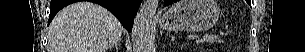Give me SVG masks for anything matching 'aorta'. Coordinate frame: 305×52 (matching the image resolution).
Instances as JSON below:
<instances>
[{"label":"aorta","instance_id":"1","mask_svg":"<svg viewBox=\"0 0 305 52\" xmlns=\"http://www.w3.org/2000/svg\"><path fill=\"white\" fill-rule=\"evenodd\" d=\"M158 0H145L141 5L132 28L134 52H151V23L156 14Z\"/></svg>","mask_w":305,"mask_h":52}]
</instances>
